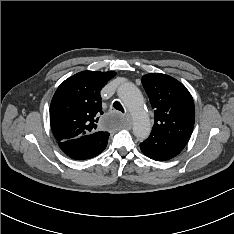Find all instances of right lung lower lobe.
<instances>
[{"instance_id": "1", "label": "right lung lower lobe", "mask_w": 234, "mask_h": 234, "mask_svg": "<svg viewBox=\"0 0 234 234\" xmlns=\"http://www.w3.org/2000/svg\"><path fill=\"white\" fill-rule=\"evenodd\" d=\"M109 135L93 133L59 142V147L69 157L85 160L99 155L107 146Z\"/></svg>"}]
</instances>
